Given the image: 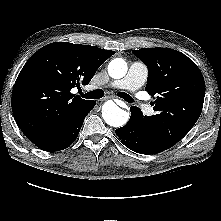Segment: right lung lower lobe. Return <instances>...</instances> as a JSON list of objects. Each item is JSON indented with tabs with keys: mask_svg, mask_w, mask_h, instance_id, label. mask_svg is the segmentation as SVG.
Returning <instances> with one entry per match:
<instances>
[{
	"mask_svg": "<svg viewBox=\"0 0 221 221\" xmlns=\"http://www.w3.org/2000/svg\"><path fill=\"white\" fill-rule=\"evenodd\" d=\"M96 105L95 101H92L89 106L79 116L74 118L64 127L51 133L47 137L34 143L38 148L44 151L54 152L60 151L69 147L77 138L79 131L83 125V121L86 115Z\"/></svg>",
	"mask_w": 221,
	"mask_h": 221,
	"instance_id": "right-lung-lower-lobe-1",
	"label": "right lung lower lobe"
}]
</instances>
